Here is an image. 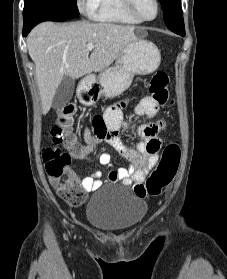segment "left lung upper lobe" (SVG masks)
<instances>
[{
    "mask_svg": "<svg viewBox=\"0 0 227 279\" xmlns=\"http://www.w3.org/2000/svg\"><path fill=\"white\" fill-rule=\"evenodd\" d=\"M163 9L164 22L170 30H185L180 0H159Z\"/></svg>",
    "mask_w": 227,
    "mask_h": 279,
    "instance_id": "5c2ea615",
    "label": "left lung upper lobe"
}]
</instances>
